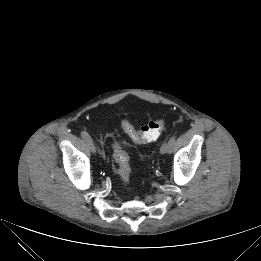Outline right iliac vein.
<instances>
[{
    "label": "right iliac vein",
    "mask_w": 261,
    "mask_h": 261,
    "mask_svg": "<svg viewBox=\"0 0 261 261\" xmlns=\"http://www.w3.org/2000/svg\"><path fill=\"white\" fill-rule=\"evenodd\" d=\"M86 145H87L89 151H90L93 155H95V154L97 153L96 147H95V145H94V143H93L92 141H87V140H86Z\"/></svg>",
    "instance_id": "63e3f726"
}]
</instances>
